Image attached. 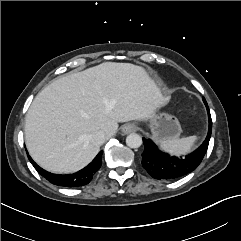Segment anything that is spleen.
<instances>
[{"mask_svg":"<svg viewBox=\"0 0 241 241\" xmlns=\"http://www.w3.org/2000/svg\"><path fill=\"white\" fill-rule=\"evenodd\" d=\"M196 139L197 136L193 135L181 139L165 140L161 142L160 146L164 151L171 155L179 156L188 153Z\"/></svg>","mask_w":241,"mask_h":241,"instance_id":"1","label":"spleen"}]
</instances>
